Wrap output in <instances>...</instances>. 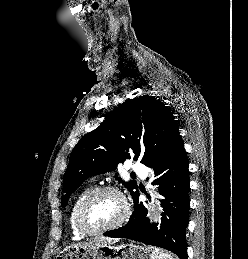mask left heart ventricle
Listing matches in <instances>:
<instances>
[{
  "label": "left heart ventricle",
  "instance_id": "b2bd125f",
  "mask_svg": "<svg viewBox=\"0 0 248 259\" xmlns=\"http://www.w3.org/2000/svg\"><path fill=\"white\" fill-rule=\"evenodd\" d=\"M123 204L113 193H104L94 198L85 211V220L92 228L109 225L120 218Z\"/></svg>",
  "mask_w": 248,
  "mask_h": 259
}]
</instances>
